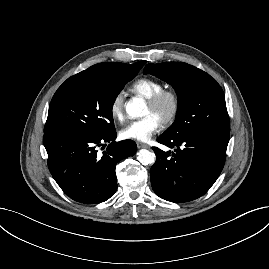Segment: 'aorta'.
Segmentation results:
<instances>
[{"label": "aorta", "mask_w": 269, "mask_h": 269, "mask_svg": "<svg viewBox=\"0 0 269 269\" xmlns=\"http://www.w3.org/2000/svg\"><path fill=\"white\" fill-rule=\"evenodd\" d=\"M146 103L142 98H133L126 104V112L132 118L143 117L146 113ZM138 161L143 165L154 164L155 154L147 149H141L137 153Z\"/></svg>", "instance_id": "obj_1"}]
</instances>
